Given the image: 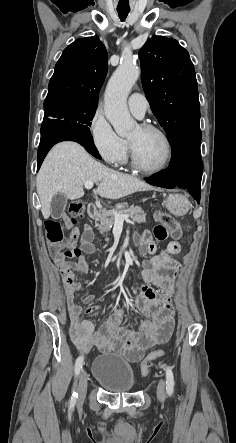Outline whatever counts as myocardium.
Masks as SVG:
<instances>
[{
    "instance_id": "myocardium-1",
    "label": "myocardium",
    "mask_w": 236,
    "mask_h": 443,
    "mask_svg": "<svg viewBox=\"0 0 236 443\" xmlns=\"http://www.w3.org/2000/svg\"><path fill=\"white\" fill-rule=\"evenodd\" d=\"M139 127L145 131L157 132L162 136V138L164 139V141L166 143L167 156H166L164 163L161 166L154 168V169L146 168L145 166H143L140 163L138 156H137L136 149H135L133 143L128 139V145H129V150H130L132 166L137 171L144 173V174H148V175H153V174H158V173L163 172L164 170H166L168 168V166L170 165L172 158H173V151H174L173 144H172V141H171L169 135L167 134V132L163 128H161L158 125L152 124V123H141L139 125Z\"/></svg>"
}]
</instances>
